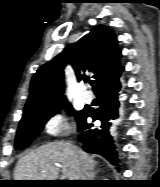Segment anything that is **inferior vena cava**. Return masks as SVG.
Wrapping results in <instances>:
<instances>
[{"mask_svg": "<svg viewBox=\"0 0 160 187\" xmlns=\"http://www.w3.org/2000/svg\"><path fill=\"white\" fill-rule=\"evenodd\" d=\"M68 145L72 147L71 143H68ZM80 180H89V172L87 170L82 169Z\"/></svg>", "mask_w": 160, "mask_h": 187, "instance_id": "inferior-vena-cava-1", "label": "inferior vena cava"}]
</instances>
